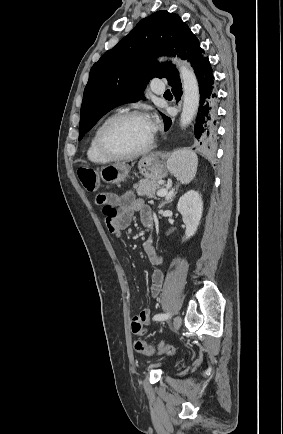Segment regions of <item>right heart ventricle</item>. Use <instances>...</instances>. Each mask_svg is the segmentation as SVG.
Masks as SVG:
<instances>
[{"mask_svg": "<svg viewBox=\"0 0 283 434\" xmlns=\"http://www.w3.org/2000/svg\"><path fill=\"white\" fill-rule=\"evenodd\" d=\"M108 119V118H107ZM105 119L93 132L90 141H89V145H88V149H87V157L88 159L96 164H106L108 162L111 161V159L105 157L104 155H102L100 153V151L97 148L96 145V134L98 129L101 127V125L107 120Z\"/></svg>", "mask_w": 283, "mask_h": 434, "instance_id": "e07e8e85", "label": "right heart ventricle"}]
</instances>
